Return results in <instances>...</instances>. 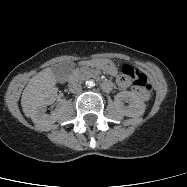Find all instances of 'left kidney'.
Segmentation results:
<instances>
[{
  "label": "left kidney",
  "mask_w": 187,
  "mask_h": 187,
  "mask_svg": "<svg viewBox=\"0 0 187 187\" xmlns=\"http://www.w3.org/2000/svg\"><path fill=\"white\" fill-rule=\"evenodd\" d=\"M123 101L128 102L129 106H124ZM115 104L120 113L127 117L142 116L145 112L146 107L145 103L130 91L119 92L115 96Z\"/></svg>",
  "instance_id": "obj_1"
}]
</instances>
